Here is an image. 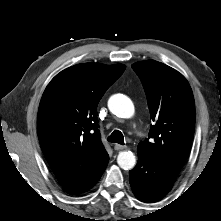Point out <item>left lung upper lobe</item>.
<instances>
[{
    "label": "left lung upper lobe",
    "mask_w": 221,
    "mask_h": 221,
    "mask_svg": "<svg viewBox=\"0 0 221 221\" xmlns=\"http://www.w3.org/2000/svg\"><path fill=\"white\" fill-rule=\"evenodd\" d=\"M147 97L152 120L148 138L138 153L180 171L191 148L195 128V104L191 87L183 75L153 60L134 63Z\"/></svg>",
    "instance_id": "1"
}]
</instances>
